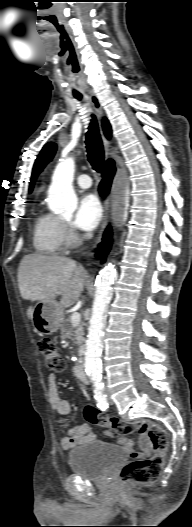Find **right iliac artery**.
Here are the masks:
<instances>
[{"label":"right iliac artery","mask_w":192,"mask_h":527,"mask_svg":"<svg viewBox=\"0 0 192 527\" xmlns=\"http://www.w3.org/2000/svg\"><path fill=\"white\" fill-rule=\"evenodd\" d=\"M94 397L98 403V407L101 410H106L108 408L107 398L104 393V385L96 384L94 388Z\"/></svg>","instance_id":"82829eb1"}]
</instances>
